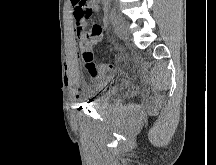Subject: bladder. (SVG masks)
Segmentation results:
<instances>
[{
    "label": "bladder",
    "instance_id": "obj_1",
    "mask_svg": "<svg viewBox=\"0 0 216 165\" xmlns=\"http://www.w3.org/2000/svg\"><path fill=\"white\" fill-rule=\"evenodd\" d=\"M118 80V76H101L95 81L97 95L92 102L93 107L105 109L112 103L118 92L111 86H118Z\"/></svg>",
    "mask_w": 216,
    "mask_h": 165
}]
</instances>
